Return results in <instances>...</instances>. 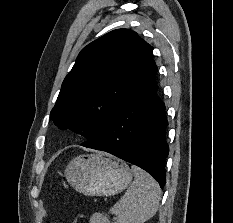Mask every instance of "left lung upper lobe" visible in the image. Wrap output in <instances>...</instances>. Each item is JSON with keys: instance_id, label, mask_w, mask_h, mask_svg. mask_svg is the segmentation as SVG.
<instances>
[{"instance_id": "left-lung-upper-lobe-1", "label": "left lung upper lobe", "mask_w": 233, "mask_h": 223, "mask_svg": "<svg viewBox=\"0 0 233 223\" xmlns=\"http://www.w3.org/2000/svg\"><path fill=\"white\" fill-rule=\"evenodd\" d=\"M152 54L153 47L128 29L91 42L63 81L50 114L54 124L90 142L153 68Z\"/></svg>"}]
</instances>
